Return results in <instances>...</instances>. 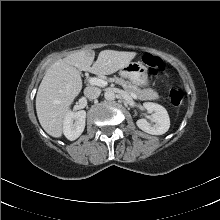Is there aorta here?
<instances>
[{
	"label": "aorta",
	"instance_id": "aorta-1",
	"mask_svg": "<svg viewBox=\"0 0 220 220\" xmlns=\"http://www.w3.org/2000/svg\"><path fill=\"white\" fill-rule=\"evenodd\" d=\"M104 97L108 101H113L116 98V94L112 90H108L105 92Z\"/></svg>",
	"mask_w": 220,
	"mask_h": 220
}]
</instances>
